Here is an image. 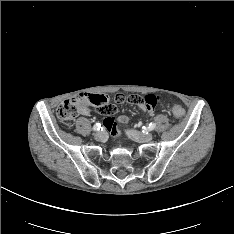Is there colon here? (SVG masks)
<instances>
[{"instance_id":"colon-1","label":"colon","mask_w":234,"mask_h":234,"mask_svg":"<svg viewBox=\"0 0 234 234\" xmlns=\"http://www.w3.org/2000/svg\"><path fill=\"white\" fill-rule=\"evenodd\" d=\"M90 94H79L72 98L64 100L57 108V116L59 119L68 121L81 113H88L89 105L87 104V97ZM98 95V94H97ZM173 114L176 118L180 119L184 116L185 111L179 105L172 107Z\"/></svg>"}]
</instances>
